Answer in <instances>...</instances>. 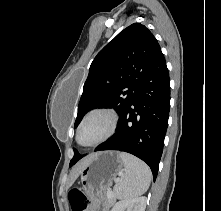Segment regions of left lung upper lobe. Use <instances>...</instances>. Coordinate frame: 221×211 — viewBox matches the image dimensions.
<instances>
[{"label":"left lung upper lobe","mask_w":221,"mask_h":211,"mask_svg":"<svg viewBox=\"0 0 221 211\" xmlns=\"http://www.w3.org/2000/svg\"><path fill=\"white\" fill-rule=\"evenodd\" d=\"M160 52L157 40L144 25L134 23L120 32L90 66L74 127L89 110L100 106L113 107L121 118ZM82 157L74 149L70 167Z\"/></svg>","instance_id":"left-lung-upper-lobe-1"}]
</instances>
